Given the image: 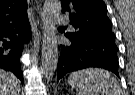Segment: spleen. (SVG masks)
Wrapping results in <instances>:
<instances>
[{
  "label": "spleen",
  "instance_id": "3e777b00",
  "mask_svg": "<svg viewBox=\"0 0 135 95\" xmlns=\"http://www.w3.org/2000/svg\"><path fill=\"white\" fill-rule=\"evenodd\" d=\"M68 83L78 95H122L117 80L103 69L89 68L72 72Z\"/></svg>",
  "mask_w": 135,
  "mask_h": 95
}]
</instances>
